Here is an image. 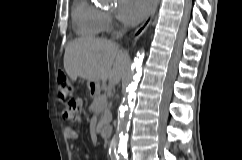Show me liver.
<instances>
[{"mask_svg": "<svg viewBox=\"0 0 242 160\" xmlns=\"http://www.w3.org/2000/svg\"><path fill=\"white\" fill-rule=\"evenodd\" d=\"M128 52L109 40L81 37L65 48L64 69L72 81L77 77L87 81H106L114 87L126 74Z\"/></svg>", "mask_w": 242, "mask_h": 160, "instance_id": "liver-1", "label": "liver"}]
</instances>
